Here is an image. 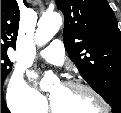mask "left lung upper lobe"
<instances>
[{"instance_id": "5c2ea615", "label": "left lung upper lobe", "mask_w": 121, "mask_h": 113, "mask_svg": "<svg viewBox=\"0 0 121 113\" xmlns=\"http://www.w3.org/2000/svg\"><path fill=\"white\" fill-rule=\"evenodd\" d=\"M65 17L63 40L89 85L121 113V32L106 0H56Z\"/></svg>"}]
</instances>
